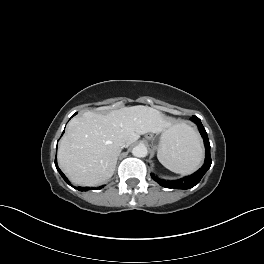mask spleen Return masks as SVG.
I'll list each match as a JSON object with an SVG mask.
<instances>
[{"label": "spleen", "mask_w": 264, "mask_h": 264, "mask_svg": "<svg viewBox=\"0 0 264 264\" xmlns=\"http://www.w3.org/2000/svg\"><path fill=\"white\" fill-rule=\"evenodd\" d=\"M160 163L172 172L182 175L194 172L203 158V147L198 133L180 124L157 153Z\"/></svg>", "instance_id": "spleen-1"}]
</instances>
